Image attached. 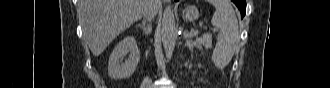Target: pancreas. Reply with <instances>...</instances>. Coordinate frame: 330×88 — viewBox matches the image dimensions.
I'll return each mask as SVG.
<instances>
[{
  "label": "pancreas",
  "instance_id": "cf45deb5",
  "mask_svg": "<svg viewBox=\"0 0 330 88\" xmlns=\"http://www.w3.org/2000/svg\"><path fill=\"white\" fill-rule=\"evenodd\" d=\"M211 36L210 35H203V37L198 38L196 37V40L193 42V45L198 48L202 49V46H205L206 48H211Z\"/></svg>",
  "mask_w": 330,
  "mask_h": 88
}]
</instances>
